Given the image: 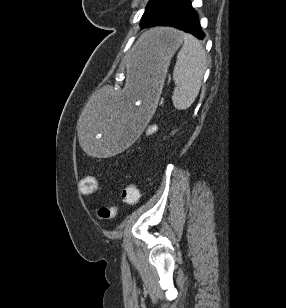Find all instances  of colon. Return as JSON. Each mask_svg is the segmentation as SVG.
I'll return each instance as SVG.
<instances>
[{"instance_id":"1","label":"colon","mask_w":286,"mask_h":308,"mask_svg":"<svg viewBox=\"0 0 286 308\" xmlns=\"http://www.w3.org/2000/svg\"><path fill=\"white\" fill-rule=\"evenodd\" d=\"M79 189L85 194H90L98 189V182L92 177H85L80 180ZM122 199L127 204H136L139 200V188L135 183H130L123 188ZM117 214V207H102L98 211L101 219H110Z\"/></svg>"}]
</instances>
